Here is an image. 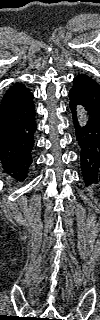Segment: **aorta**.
Instances as JSON below:
<instances>
[{
    "mask_svg": "<svg viewBox=\"0 0 100 320\" xmlns=\"http://www.w3.org/2000/svg\"><path fill=\"white\" fill-rule=\"evenodd\" d=\"M76 112H77L76 114H77V118H78L79 123L81 125H85L88 120V115H87V111L85 110V108L82 106H77Z\"/></svg>",
    "mask_w": 100,
    "mask_h": 320,
    "instance_id": "aorta-1",
    "label": "aorta"
}]
</instances>
